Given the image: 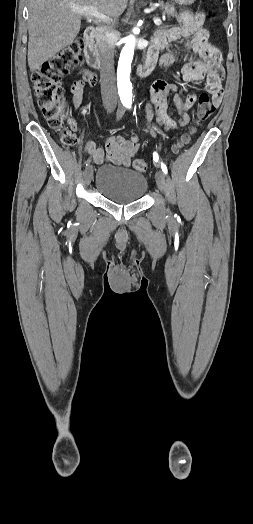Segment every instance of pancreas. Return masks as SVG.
<instances>
[{"label":"pancreas","mask_w":253,"mask_h":524,"mask_svg":"<svg viewBox=\"0 0 253 524\" xmlns=\"http://www.w3.org/2000/svg\"><path fill=\"white\" fill-rule=\"evenodd\" d=\"M161 7L163 8V15H167L169 17H174L177 15V12L175 11V7L171 4H161ZM153 8H156L155 6Z\"/></svg>","instance_id":"obj_1"}]
</instances>
